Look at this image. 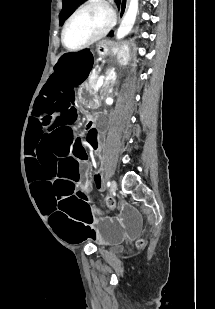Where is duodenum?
<instances>
[{
    "mask_svg": "<svg viewBox=\"0 0 215 309\" xmlns=\"http://www.w3.org/2000/svg\"><path fill=\"white\" fill-rule=\"evenodd\" d=\"M97 119H98V118H97L96 116H94V117L91 118V121H90V122H91L92 124H94V123H96Z\"/></svg>",
    "mask_w": 215,
    "mask_h": 309,
    "instance_id": "obj_1",
    "label": "duodenum"
}]
</instances>
